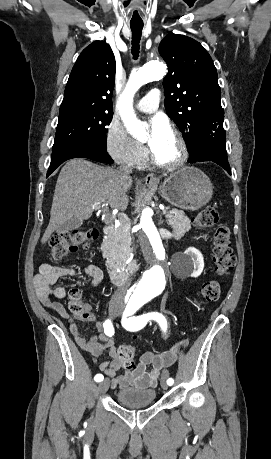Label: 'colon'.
I'll use <instances>...</instances> for the list:
<instances>
[{"instance_id": "5ec220e1", "label": "colon", "mask_w": 271, "mask_h": 459, "mask_svg": "<svg viewBox=\"0 0 271 459\" xmlns=\"http://www.w3.org/2000/svg\"><path fill=\"white\" fill-rule=\"evenodd\" d=\"M194 222L197 226L203 228L215 227L213 234L214 269L219 276L230 274L236 264V257L231 245L229 228L222 223L218 211L213 207H207L197 214ZM96 237L97 231L95 229H77L56 234L50 240V257L53 260H62L81 248H87ZM220 294L221 288L218 281L212 280L202 286L201 295L207 302L217 301ZM69 297L70 313L75 317H85L88 311L86 305L81 302L80 290L72 289ZM135 353V348L130 344L122 345L119 348V358L127 369L135 367Z\"/></svg>"}]
</instances>
